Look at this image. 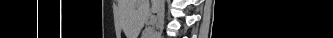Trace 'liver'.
<instances>
[{"label": "liver", "instance_id": "liver-1", "mask_svg": "<svg viewBox=\"0 0 333 38\" xmlns=\"http://www.w3.org/2000/svg\"><path fill=\"white\" fill-rule=\"evenodd\" d=\"M152 7H149V0H121L119 2L121 12H127L134 9V32L137 35L138 31L143 27L150 11L158 14V0H151Z\"/></svg>", "mask_w": 333, "mask_h": 38}]
</instances>
